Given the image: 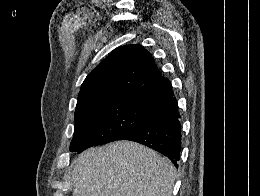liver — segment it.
Wrapping results in <instances>:
<instances>
[{"instance_id":"1","label":"liver","mask_w":260,"mask_h":196,"mask_svg":"<svg viewBox=\"0 0 260 196\" xmlns=\"http://www.w3.org/2000/svg\"><path fill=\"white\" fill-rule=\"evenodd\" d=\"M72 172L73 196H172L176 178L167 158L128 140L88 148Z\"/></svg>"}]
</instances>
